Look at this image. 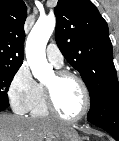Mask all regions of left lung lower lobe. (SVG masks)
Masks as SVG:
<instances>
[{"label": "left lung lower lobe", "instance_id": "1", "mask_svg": "<svg viewBox=\"0 0 119 141\" xmlns=\"http://www.w3.org/2000/svg\"><path fill=\"white\" fill-rule=\"evenodd\" d=\"M87 120L119 141V93L108 95L91 105Z\"/></svg>", "mask_w": 119, "mask_h": 141}]
</instances>
